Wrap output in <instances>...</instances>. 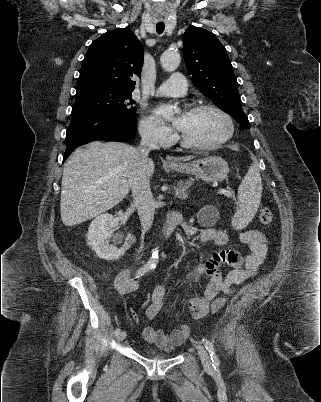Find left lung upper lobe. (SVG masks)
Returning <instances> with one entry per match:
<instances>
[{"label":"left lung upper lobe","instance_id":"5c2ea615","mask_svg":"<svg viewBox=\"0 0 321 402\" xmlns=\"http://www.w3.org/2000/svg\"><path fill=\"white\" fill-rule=\"evenodd\" d=\"M183 40L186 68L195 86L244 128H250L225 47L213 33L194 26L185 31Z\"/></svg>","mask_w":321,"mask_h":402}]
</instances>
